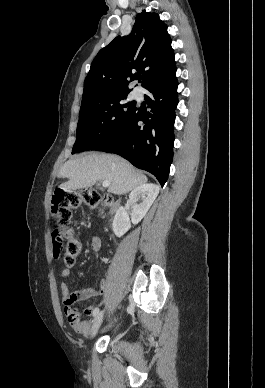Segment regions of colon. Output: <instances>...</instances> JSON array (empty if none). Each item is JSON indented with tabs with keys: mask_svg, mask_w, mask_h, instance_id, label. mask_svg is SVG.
Wrapping results in <instances>:
<instances>
[{
	"mask_svg": "<svg viewBox=\"0 0 265 388\" xmlns=\"http://www.w3.org/2000/svg\"><path fill=\"white\" fill-rule=\"evenodd\" d=\"M108 203V198L102 197L92 189L80 191L55 190L52 197L51 212L57 226L52 234L53 250L57 259H61L67 266H71L82 250L81 242L73 235L71 227L72 210L81 204L102 209ZM78 318L76 314L68 315L71 322H76Z\"/></svg>",
	"mask_w": 265,
	"mask_h": 388,
	"instance_id": "1",
	"label": "colon"
}]
</instances>
